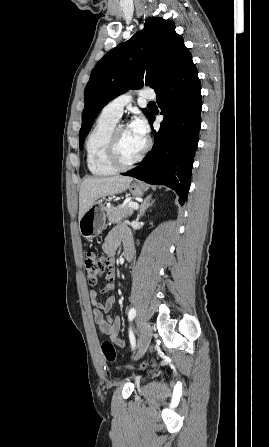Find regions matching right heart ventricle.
<instances>
[{"label": "right heart ventricle", "instance_id": "1", "mask_svg": "<svg viewBox=\"0 0 269 447\" xmlns=\"http://www.w3.org/2000/svg\"><path fill=\"white\" fill-rule=\"evenodd\" d=\"M116 122L117 120L102 112L87 137V165L94 175H108L116 171L107 159L108 137Z\"/></svg>", "mask_w": 269, "mask_h": 447}]
</instances>
